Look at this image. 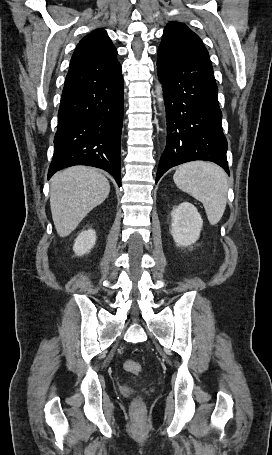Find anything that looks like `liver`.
I'll list each match as a JSON object with an SVG mask.
<instances>
[{"label":"liver","instance_id":"6515ba94","mask_svg":"<svg viewBox=\"0 0 272 455\" xmlns=\"http://www.w3.org/2000/svg\"><path fill=\"white\" fill-rule=\"evenodd\" d=\"M109 192V181L94 168L75 166L55 174L50 185V207L58 235L68 236Z\"/></svg>","mask_w":272,"mask_h":455}]
</instances>
